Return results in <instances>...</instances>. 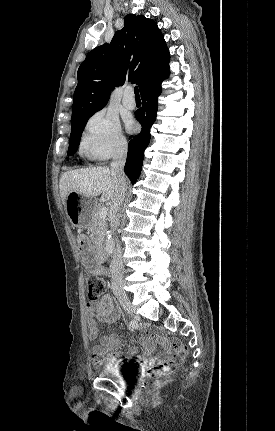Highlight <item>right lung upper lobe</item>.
<instances>
[{
    "label": "right lung upper lobe",
    "mask_w": 275,
    "mask_h": 431,
    "mask_svg": "<svg viewBox=\"0 0 275 431\" xmlns=\"http://www.w3.org/2000/svg\"><path fill=\"white\" fill-rule=\"evenodd\" d=\"M124 22L110 44L89 52L80 65L72 123L101 110L115 86L131 81L142 94L169 72L170 55L157 24L134 14L127 15Z\"/></svg>",
    "instance_id": "1"
}]
</instances>
